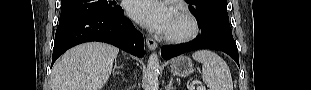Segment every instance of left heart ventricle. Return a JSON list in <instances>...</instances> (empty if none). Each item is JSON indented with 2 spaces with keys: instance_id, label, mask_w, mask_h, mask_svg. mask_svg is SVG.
<instances>
[{
  "instance_id": "1",
  "label": "left heart ventricle",
  "mask_w": 311,
  "mask_h": 90,
  "mask_svg": "<svg viewBox=\"0 0 311 90\" xmlns=\"http://www.w3.org/2000/svg\"><path fill=\"white\" fill-rule=\"evenodd\" d=\"M184 28H185L184 23L179 18V16L176 13H174L172 21H171V25L167 32L168 33L180 32L184 30Z\"/></svg>"
}]
</instances>
